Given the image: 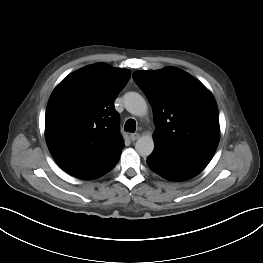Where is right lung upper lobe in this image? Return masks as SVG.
<instances>
[{"label":"right lung upper lobe","mask_w":263,"mask_h":263,"mask_svg":"<svg viewBox=\"0 0 263 263\" xmlns=\"http://www.w3.org/2000/svg\"><path fill=\"white\" fill-rule=\"evenodd\" d=\"M126 69L93 64L68 75L52 92L45 115V137L56 163L79 176L121 155L119 114L114 100L130 79Z\"/></svg>","instance_id":"1"}]
</instances>
